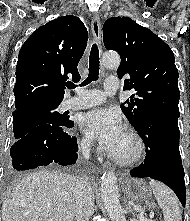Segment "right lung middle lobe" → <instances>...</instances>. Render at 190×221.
Instances as JSON below:
<instances>
[{
  "label": "right lung middle lobe",
  "instance_id": "obj_1",
  "mask_svg": "<svg viewBox=\"0 0 190 221\" xmlns=\"http://www.w3.org/2000/svg\"><path fill=\"white\" fill-rule=\"evenodd\" d=\"M60 103L42 104L13 114V131L15 139L24 137L33 128L46 123L64 125L69 117L56 111Z\"/></svg>",
  "mask_w": 190,
  "mask_h": 221
}]
</instances>
